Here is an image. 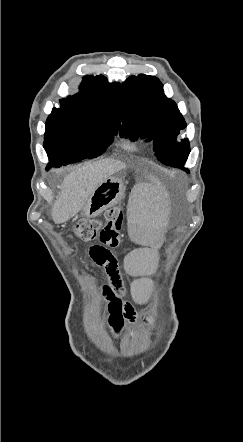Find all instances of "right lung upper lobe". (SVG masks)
I'll return each mask as SVG.
<instances>
[{
    "instance_id": "cb5924a9",
    "label": "right lung upper lobe",
    "mask_w": 243,
    "mask_h": 442,
    "mask_svg": "<svg viewBox=\"0 0 243 442\" xmlns=\"http://www.w3.org/2000/svg\"><path fill=\"white\" fill-rule=\"evenodd\" d=\"M81 85L79 93L60 100V108L120 126L121 85L102 75H86Z\"/></svg>"
}]
</instances>
